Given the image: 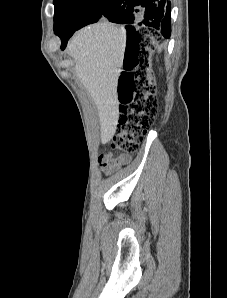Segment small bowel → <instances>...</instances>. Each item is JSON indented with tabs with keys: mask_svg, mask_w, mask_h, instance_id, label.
<instances>
[{
	"mask_svg": "<svg viewBox=\"0 0 227 298\" xmlns=\"http://www.w3.org/2000/svg\"><path fill=\"white\" fill-rule=\"evenodd\" d=\"M130 160L131 156L126 153H120L115 155L109 152L100 154L98 157L99 165L104 173L114 172L120 167L128 164Z\"/></svg>",
	"mask_w": 227,
	"mask_h": 298,
	"instance_id": "1",
	"label": "small bowel"
}]
</instances>
